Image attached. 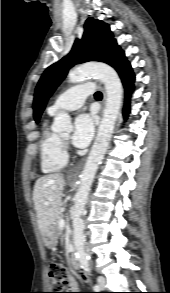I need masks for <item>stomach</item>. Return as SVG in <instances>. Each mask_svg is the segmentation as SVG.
Segmentation results:
<instances>
[{
	"instance_id": "1",
	"label": "stomach",
	"mask_w": 170,
	"mask_h": 293,
	"mask_svg": "<svg viewBox=\"0 0 170 293\" xmlns=\"http://www.w3.org/2000/svg\"><path fill=\"white\" fill-rule=\"evenodd\" d=\"M43 241H44L45 246H47L48 248L55 247L57 245V236L55 235V233L51 229H49L43 235Z\"/></svg>"
}]
</instances>
